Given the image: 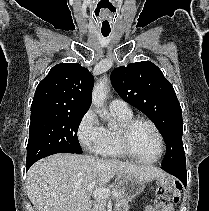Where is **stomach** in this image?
<instances>
[{
  "instance_id": "stomach-1",
  "label": "stomach",
  "mask_w": 209,
  "mask_h": 211,
  "mask_svg": "<svg viewBox=\"0 0 209 211\" xmlns=\"http://www.w3.org/2000/svg\"><path fill=\"white\" fill-rule=\"evenodd\" d=\"M119 185L125 197L129 200L136 198L145 188V183L134 177L119 178Z\"/></svg>"
}]
</instances>
